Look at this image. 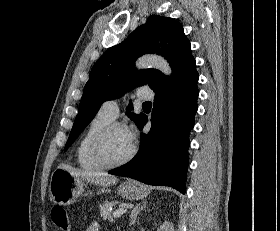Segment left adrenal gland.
Wrapping results in <instances>:
<instances>
[{"label":"left adrenal gland","instance_id":"a2214340","mask_svg":"<svg viewBox=\"0 0 280 231\" xmlns=\"http://www.w3.org/2000/svg\"><path fill=\"white\" fill-rule=\"evenodd\" d=\"M146 203L147 201H142V205H136V207H134V209H132L131 213H130V225H133V223H135L137 217H138V213H140V211H142V209H144V207H146Z\"/></svg>","mask_w":280,"mask_h":231}]
</instances>
